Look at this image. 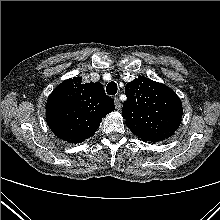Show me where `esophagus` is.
Wrapping results in <instances>:
<instances>
[{
    "label": "esophagus",
    "mask_w": 220,
    "mask_h": 220,
    "mask_svg": "<svg viewBox=\"0 0 220 220\" xmlns=\"http://www.w3.org/2000/svg\"><path fill=\"white\" fill-rule=\"evenodd\" d=\"M114 102H115V107L117 110H120L121 109V103H120V100L118 97H115L114 98Z\"/></svg>",
    "instance_id": "34e87169"
}]
</instances>
